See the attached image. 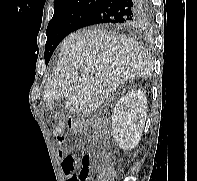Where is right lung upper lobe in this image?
<instances>
[{
	"label": "right lung upper lobe",
	"instance_id": "cb5924a9",
	"mask_svg": "<svg viewBox=\"0 0 197 181\" xmlns=\"http://www.w3.org/2000/svg\"><path fill=\"white\" fill-rule=\"evenodd\" d=\"M101 1H103V0H55L54 12L74 8V7H77L79 5H83V4L97 5ZM136 28H138V27L131 26V27L125 28V30H133V29H136Z\"/></svg>",
	"mask_w": 197,
	"mask_h": 181
}]
</instances>
